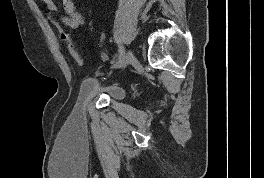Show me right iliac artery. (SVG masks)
<instances>
[{"instance_id": "obj_1", "label": "right iliac artery", "mask_w": 264, "mask_h": 178, "mask_svg": "<svg viewBox=\"0 0 264 178\" xmlns=\"http://www.w3.org/2000/svg\"><path fill=\"white\" fill-rule=\"evenodd\" d=\"M118 52H119V54H118V59H120L123 55H124V48L121 46V45H119L118 46ZM115 61H113L112 63H114Z\"/></svg>"}]
</instances>
